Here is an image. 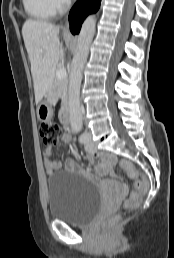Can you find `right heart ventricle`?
I'll return each mask as SVG.
<instances>
[{"mask_svg": "<svg viewBox=\"0 0 174 258\" xmlns=\"http://www.w3.org/2000/svg\"><path fill=\"white\" fill-rule=\"evenodd\" d=\"M25 12L35 20H48L56 9L51 0H22Z\"/></svg>", "mask_w": 174, "mask_h": 258, "instance_id": "obj_1", "label": "right heart ventricle"}]
</instances>
